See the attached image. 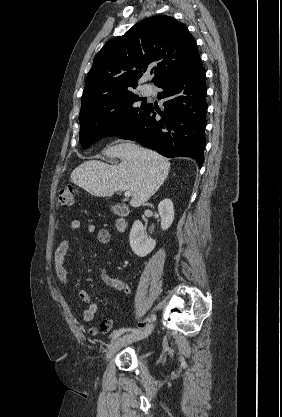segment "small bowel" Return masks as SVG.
<instances>
[{
  "label": "small bowel",
  "instance_id": "1",
  "mask_svg": "<svg viewBox=\"0 0 282 417\" xmlns=\"http://www.w3.org/2000/svg\"><path fill=\"white\" fill-rule=\"evenodd\" d=\"M82 226L83 224L81 220L79 219H73L69 224L70 230L74 233L80 232L82 229ZM88 231L90 233L97 232L98 241L102 244H107L110 241V238H111L110 232L106 228L97 229L96 225L90 224L88 226ZM68 249H69L68 241L63 240L60 242V244L58 245L57 249L54 252L55 272L60 282L63 283L64 285H68L69 283L67 270L64 266L65 257L67 255ZM98 277L106 286L116 291L122 292L125 295H128L130 293V287L127 284V282H125L122 279L110 276L105 270H101L98 274ZM79 298L83 303L86 304V307H84L81 310L82 317L84 321L90 322L94 318L97 312V309H98L97 303L91 298V295L89 294L87 290H81L79 292ZM112 327H113V320L111 318H106L100 323L98 327H95V326L88 327L87 333L90 336H95L99 333L105 334V333H108L112 329Z\"/></svg>",
  "mask_w": 282,
  "mask_h": 417
}]
</instances>
